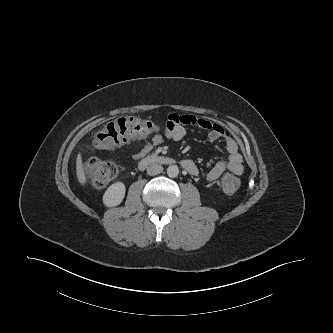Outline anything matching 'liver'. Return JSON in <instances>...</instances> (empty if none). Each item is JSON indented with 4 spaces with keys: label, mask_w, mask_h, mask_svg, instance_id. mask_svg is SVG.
Masks as SVG:
<instances>
[{
    "label": "liver",
    "mask_w": 333,
    "mask_h": 333,
    "mask_svg": "<svg viewBox=\"0 0 333 333\" xmlns=\"http://www.w3.org/2000/svg\"><path fill=\"white\" fill-rule=\"evenodd\" d=\"M76 175L78 178V182L81 185H85L87 180H86V175H85L84 168H83L81 153H78L77 159H76Z\"/></svg>",
    "instance_id": "1"
}]
</instances>
